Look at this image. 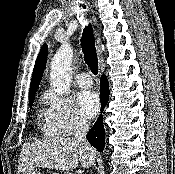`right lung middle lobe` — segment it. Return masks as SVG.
Returning a JSON list of instances; mask_svg holds the SVG:
<instances>
[{
	"label": "right lung middle lobe",
	"mask_w": 175,
	"mask_h": 174,
	"mask_svg": "<svg viewBox=\"0 0 175 174\" xmlns=\"http://www.w3.org/2000/svg\"><path fill=\"white\" fill-rule=\"evenodd\" d=\"M32 102H33V99H30V100H29V105H30V106L32 105Z\"/></svg>",
	"instance_id": "1"
}]
</instances>
